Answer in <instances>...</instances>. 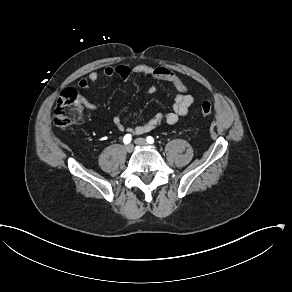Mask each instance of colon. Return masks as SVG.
<instances>
[{"label": "colon", "instance_id": "1", "mask_svg": "<svg viewBox=\"0 0 292 292\" xmlns=\"http://www.w3.org/2000/svg\"><path fill=\"white\" fill-rule=\"evenodd\" d=\"M84 109L79 92L74 88H66L59 96L53 114V122L62 128L74 123ZM212 103L208 100L201 104V115L208 117L212 113Z\"/></svg>", "mask_w": 292, "mask_h": 292}]
</instances>
